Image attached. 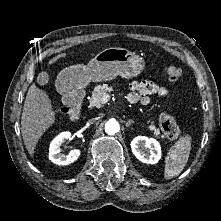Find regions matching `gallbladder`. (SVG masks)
<instances>
[{"mask_svg": "<svg viewBox=\"0 0 221 221\" xmlns=\"http://www.w3.org/2000/svg\"><path fill=\"white\" fill-rule=\"evenodd\" d=\"M48 74L46 72H41L37 77V82L41 85H44L48 82Z\"/></svg>", "mask_w": 221, "mask_h": 221, "instance_id": "bac80fb5", "label": "gallbladder"}]
</instances>
